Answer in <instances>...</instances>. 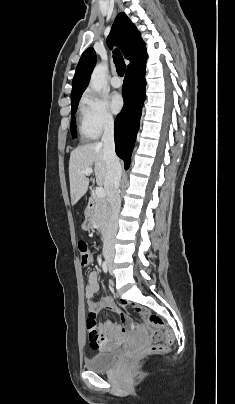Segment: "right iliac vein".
Listing matches in <instances>:
<instances>
[{
	"label": "right iliac vein",
	"instance_id": "obj_1",
	"mask_svg": "<svg viewBox=\"0 0 235 404\" xmlns=\"http://www.w3.org/2000/svg\"><path fill=\"white\" fill-rule=\"evenodd\" d=\"M106 260H107V263L110 265V267H111V259H110V257H106Z\"/></svg>",
	"mask_w": 235,
	"mask_h": 404
}]
</instances>
